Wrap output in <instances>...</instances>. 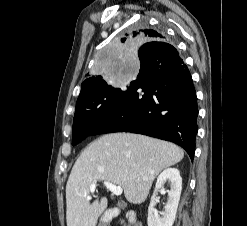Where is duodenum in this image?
<instances>
[{"mask_svg":"<svg viewBox=\"0 0 247 226\" xmlns=\"http://www.w3.org/2000/svg\"><path fill=\"white\" fill-rule=\"evenodd\" d=\"M121 216L123 225H135L136 214L132 210L121 211L118 208H112L105 212L104 219L106 222L112 221L114 218Z\"/></svg>","mask_w":247,"mask_h":226,"instance_id":"obj_1","label":"duodenum"}]
</instances>
